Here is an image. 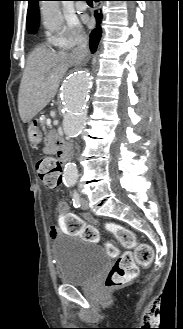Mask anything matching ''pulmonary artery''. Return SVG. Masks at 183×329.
<instances>
[{
  "label": "pulmonary artery",
  "mask_w": 183,
  "mask_h": 329,
  "mask_svg": "<svg viewBox=\"0 0 183 329\" xmlns=\"http://www.w3.org/2000/svg\"><path fill=\"white\" fill-rule=\"evenodd\" d=\"M87 9V5L85 3H79L76 5V10L78 12H84Z\"/></svg>",
  "instance_id": "obj_1"
}]
</instances>
